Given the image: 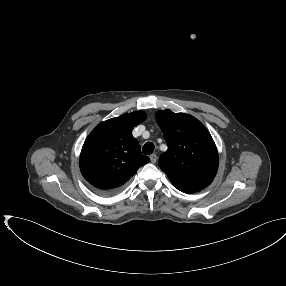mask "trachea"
Wrapping results in <instances>:
<instances>
[{
    "instance_id": "3493384b",
    "label": "trachea",
    "mask_w": 286,
    "mask_h": 286,
    "mask_svg": "<svg viewBox=\"0 0 286 286\" xmlns=\"http://www.w3.org/2000/svg\"><path fill=\"white\" fill-rule=\"evenodd\" d=\"M142 151L145 155H150L154 151V144L152 142H147L144 144Z\"/></svg>"
}]
</instances>
